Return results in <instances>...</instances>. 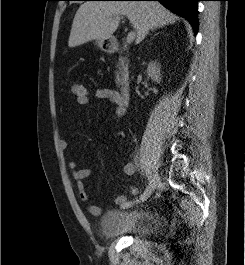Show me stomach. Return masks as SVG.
Wrapping results in <instances>:
<instances>
[{"label":"stomach","instance_id":"stomach-1","mask_svg":"<svg viewBox=\"0 0 245 265\" xmlns=\"http://www.w3.org/2000/svg\"><path fill=\"white\" fill-rule=\"evenodd\" d=\"M96 45L102 51H107L110 48V43H108L106 40H97Z\"/></svg>","mask_w":245,"mask_h":265}]
</instances>
